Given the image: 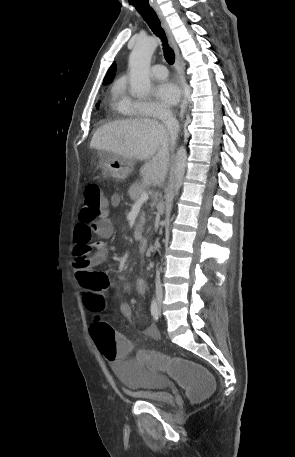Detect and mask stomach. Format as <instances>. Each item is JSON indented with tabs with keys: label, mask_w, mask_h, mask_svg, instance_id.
Returning a JSON list of instances; mask_svg holds the SVG:
<instances>
[{
	"label": "stomach",
	"mask_w": 295,
	"mask_h": 457,
	"mask_svg": "<svg viewBox=\"0 0 295 457\" xmlns=\"http://www.w3.org/2000/svg\"><path fill=\"white\" fill-rule=\"evenodd\" d=\"M100 157L102 159L104 173L108 177L123 180L133 171V159L108 152H102Z\"/></svg>",
	"instance_id": "obj_1"
}]
</instances>
